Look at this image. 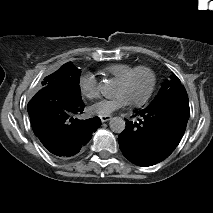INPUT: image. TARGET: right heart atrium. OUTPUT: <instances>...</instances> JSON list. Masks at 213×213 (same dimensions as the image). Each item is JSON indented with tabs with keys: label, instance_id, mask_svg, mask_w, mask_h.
Masks as SVG:
<instances>
[{
	"label": "right heart atrium",
	"instance_id": "right-heart-atrium-1",
	"mask_svg": "<svg viewBox=\"0 0 213 213\" xmlns=\"http://www.w3.org/2000/svg\"><path fill=\"white\" fill-rule=\"evenodd\" d=\"M80 88L82 93L89 98H96L100 93L98 79L93 73H86L80 78Z\"/></svg>",
	"mask_w": 213,
	"mask_h": 213
}]
</instances>
